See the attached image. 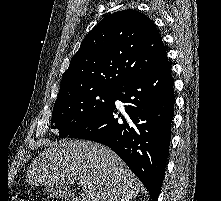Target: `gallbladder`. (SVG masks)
I'll use <instances>...</instances> for the list:
<instances>
[{
    "instance_id": "1",
    "label": "gallbladder",
    "mask_w": 221,
    "mask_h": 201,
    "mask_svg": "<svg viewBox=\"0 0 221 201\" xmlns=\"http://www.w3.org/2000/svg\"><path fill=\"white\" fill-rule=\"evenodd\" d=\"M46 191L51 198L68 200L69 198L74 197L72 191L64 185H51L47 187Z\"/></svg>"
}]
</instances>
